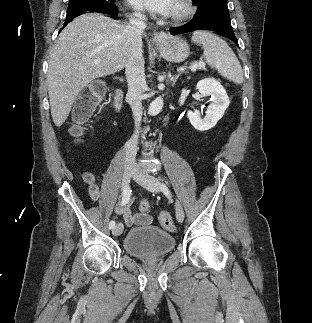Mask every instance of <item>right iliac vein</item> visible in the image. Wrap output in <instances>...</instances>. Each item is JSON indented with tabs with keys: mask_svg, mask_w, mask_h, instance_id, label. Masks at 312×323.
Masks as SVG:
<instances>
[{
	"mask_svg": "<svg viewBox=\"0 0 312 323\" xmlns=\"http://www.w3.org/2000/svg\"><path fill=\"white\" fill-rule=\"evenodd\" d=\"M133 176V169L131 166L125 164L124 165V168H123V174H122V187L123 189L124 188H127L129 187V184H130V181H131V178ZM122 231H123V224L122 223H118L114 230H113V235L114 236H119L122 234Z\"/></svg>",
	"mask_w": 312,
	"mask_h": 323,
	"instance_id": "right-iliac-vein-1",
	"label": "right iliac vein"
}]
</instances>
